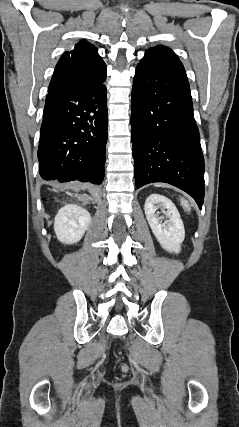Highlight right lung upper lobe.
Here are the masks:
<instances>
[{
  "mask_svg": "<svg viewBox=\"0 0 239 427\" xmlns=\"http://www.w3.org/2000/svg\"><path fill=\"white\" fill-rule=\"evenodd\" d=\"M106 71V65L97 53V48L85 40L65 52L56 65L49 89L70 80L96 77Z\"/></svg>",
  "mask_w": 239,
  "mask_h": 427,
  "instance_id": "1",
  "label": "right lung upper lobe"
}]
</instances>
